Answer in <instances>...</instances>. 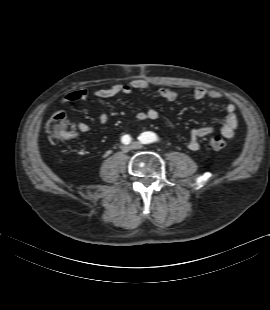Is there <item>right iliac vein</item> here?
<instances>
[{
    "label": "right iliac vein",
    "instance_id": "right-iliac-vein-1",
    "mask_svg": "<svg viewBox=\"0 0 270 310\" xmlns=\"http://www.w3.org/2000/svg\"><path fill=\"white\" fill-rule=\"evenodd\" d=\"M132 148L129 145H124L122 146V152L127 153L131 150Z\"/></svg>",
    "mask_w": 270,
    "mask_h": 310
}]
</instances>
